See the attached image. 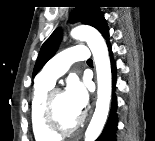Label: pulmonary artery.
<instances>
[{"label":"pulmonary artery","instance_id":"1","mask_svg":"<svg viewBox=\"0 0 155 141\" xmlns=\"http://www.w3.org/2000/svg\"><path fill=\"white\" fill-rule=\"evenodd\" d=\"M89 50L84 45L71 46L57 54L38 76L39 81L54 84L56 79L66 72L69 66L78 61H86Z\"/></svg>","mask_w":155,"mask_h":141}]
</instances>
